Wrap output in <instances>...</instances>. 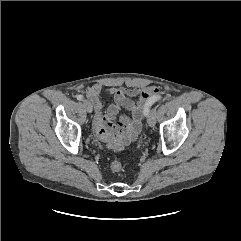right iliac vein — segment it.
Wrapping results in <instances>:
<instances>
[{
    "label": "right iliac vein",
    "instance_id": "63e3f726",
    "mask_svg": "<svg viewBox=\"0 0 241 241\" xmlns=\"http://www.w3.org/2000/svg\"><path fill=\"white\" fill-rule=\"evenodd\" d=\"M83 106L88 113H91L93 111V105L89 100L84 99Z\"/></svg>",
    "mask_w": 241,
    "mask_h": 241
}]
</instances>
